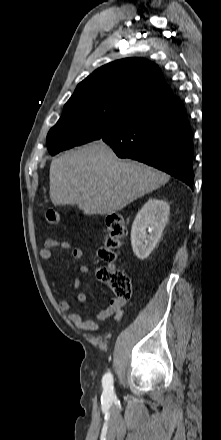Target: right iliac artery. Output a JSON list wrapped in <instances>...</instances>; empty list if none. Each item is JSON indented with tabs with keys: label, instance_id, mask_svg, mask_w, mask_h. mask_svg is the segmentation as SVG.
I'll list each match as a JSON object with an SVG mask.
<instances>
[{
	"label": "right iliac artery",
	"instance_id": "1",
	"mask_svg": "<svg viewBox=\"0 0 221 440\" xmlns=\"http://www.w3.org/2000/svg\"><path fill=\"white\" fill-rule=\"evenodd\" d=\"M103 394L105 397L110 398L114 396L113 391V377L110 372L106 373L102 380Z\"/></svg>",
	"mask_w": 221,
	"mask_h": 440
}]
</instances>
